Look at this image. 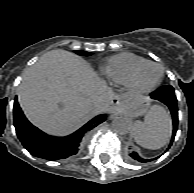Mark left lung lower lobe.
<instances>
[{
    "label": "left lung lower lobe",
    "instance_id": "1",
    "mask_svg": "<svg viewBox=\"0 0 194 193\" xmlns=\"http://www.w3.org/2000/svg\"><path fill=\"white\" fill-rule=\"evenodd\" d=\"M151 98L163 102L170 109V113L172 115V120H173V133H172V140L169 145L170 147L172 145V142L174 141L176 131H177V126H178L177 99L174 93V89L170 85L164 86L161 89L151 93ZM129 155L134 160H137L139 162L151 161L150 159H143L136 152H130Z\"/></svg>",
    "mask_w": 194,
    "mask_h": 193
}]
</instances>
